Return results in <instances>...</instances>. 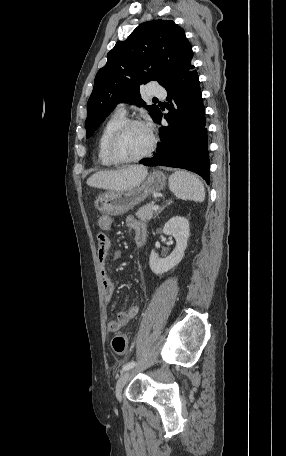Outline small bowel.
Wrapping results in <instances>:
<instances>
[{
  "label": "small bowel",
  "instance_id": "small-bowel-1",
  "mask_svg": "<svg viewBox=\"0 0 286 456\" xmlns=\"http://www.w3.org/2000/svg\"><path fill=\"white\" fill-rule=\"evenodd\" d=\"M112 224L113 219L109 215H103L99 219V228L101 231L98 234L97 257L100 265L103 297L106 302H109L112 299L114 293V282L109 275L107 262L108 260L117 261L121 258V252L119 250H114L111 252V243L105 234L106 231L111 229ZM125 224L134 232L135 241L141 235L146 236V227L144 223L138 220L136 217L128 216L125 220ZM138 312L139 306L137 305H132L127 310L119 311L117 313L116 319L108 322V331L111 333L119 331L128 325L129 322L137 316Z\"/></svg>",
  "mask_w": 286,
  "mask_h": 456
}]
</instances>
